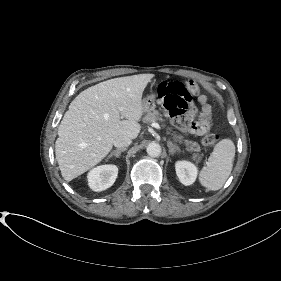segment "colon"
I'll list each match as a JSON object with an SVG mask.
<instances>
[{"mask_svg": "<svg viewBox=\"0 0 281 281\" xmlns=\"http://www.w3.org/2000/svg\"><path fill=\"white\" fill-rule=\"evenodd\" d=\"M199 93V86L194 81L185 83L178 81L162 82L158 86V96L161 98L163 106L168 115L176 119L183 126L190 125L188 118L184 115L188 105L193 101L195 95ZM207 127L210 126V119L203 117ZM217 134L209 133L204 136L202 143L207 147H214L218 143Z\"/></svg>", "mask_w": 281, "mask_h": 281, "instance_id": "obj_1", "label": "colon"}]
</instances>
